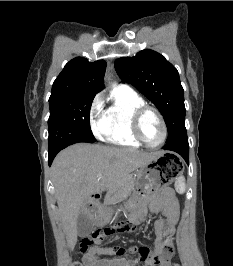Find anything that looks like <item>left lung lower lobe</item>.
Masks as SVG:
<instances>
[{
  "instance_id": "0a47b994",
  "label": "left lung lower lobe",
  "mask_w": 233,
  "mask_h": 266,
  "mask_svg": "<svg viewBox=\"0 0 233 266\" xmlns=\"http://www.w3.org/2000/svg\"><path fill=\"white\" fill-rule=\"evenodd\" d=\"M164 150H171L180 154L189 164V145L186 129L167 139Z\"/></svg>"
}]
</instances>
